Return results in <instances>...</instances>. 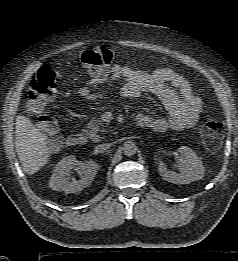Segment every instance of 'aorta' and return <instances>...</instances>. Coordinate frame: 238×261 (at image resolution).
<instances>
[{
    "label": "aorta",
    "mask_w": 238,
    "mask_h": 261,
    "mask_svg": "<svg viewBox=\"0 0 238 261\" xmlns=\"http://www.w3.org/2000/svg\"><path fill=\"white\" fill-rule=\"evenodd\" d=\"M136 152H137V146L133 141L129 140L123 144V153L126 156H133L136 154Z\"/></svg>",
    "instance_id": "1"
}]
</instances>
